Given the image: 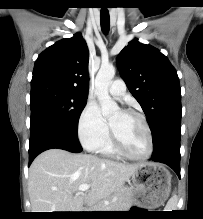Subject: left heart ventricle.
Instances as JSON below:
<instances>
[{"mask_svg": "<svg viewBox=\"0 0 203 219\" xmlns=\"http://www.w3.org/2000/svg\"><path fill=\"white\" fill-rule=\"evenodd\" d=\"M110 124L126 149L136 156H143L147 151V133L141 120L123 111L115 112Z\"/></svg>", "mask_w": 203, "mask_h": 219, "instance_id": "left-heart-ventricle-1", "label": "left heart ventricle"}]
</instances>
